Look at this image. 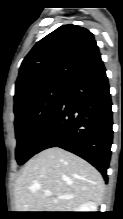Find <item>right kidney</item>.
Listing matches in <instances>:
<instances>
[{
	"label": "right kidney",
	"mask_w": 123,
	"mask_h": 219,
	"mask_svg": "<svg viewBox=\"0 0 123 219\" xmlns=\"http://www.w3.org/2000/svg\"><path fill=\"white\" fill-rule=\"evenodd\" d=\"M76 212H97V205L94 202H86Z\"/></svg>",
	"instance_id": "1"
}]
</instances>
